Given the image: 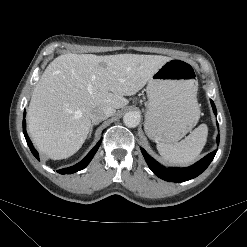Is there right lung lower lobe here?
I'll return each mask as SVG.
<instances>
[{"label":"right lung lower lobe","instance_id":"1","mask_svg":"<svg viewBox=\"0 0 247 247\" xmlns=\"http://www.w3.org/2000/svg\"><path fill=\"white\" fill-rule=\"evenodd\" d=\"M24 117H25V112H24ZM23 133H24V136H25V139L27 141V144L31 150V152L33 153V155L39 160V156H38V153L37 151L34 149L27 133H26V122H25V119H23ZM101 144V140L96 144V146L88 153V155L81 161L79 162L78 164L72 166V167H69V168H65V169H61V170H58L57 172H59L60 174H72V173H75L77 171H80L82 169H84L89 163L90 161L92 160L93 156L95 155V153L97 152L99 146Z\"/></svg>","mask_w":247,"mask_h":247}]
</instances>
